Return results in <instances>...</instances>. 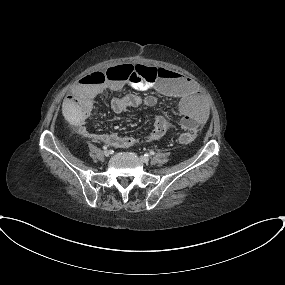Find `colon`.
Here are the masks:
<instances>
[{
  "mask_svg": "<svg viewBox=\"0 0 285 285\" xmlns=\"http://www.w3.org/2000/svg\"><path fill=\"white\" fill-rule=\"evenodd\" d=\"M159 70L149 66L122 65L116 68H108L105 71H93L81 76L83 82L92 84H103L108 79L121 78L135 83L143 80L153 82L157 79ZM180 143L188 144L193 141L192 133H183L179 138Z\"/></svg>",
  "mask_w": 285,
  "mask_h": 285,
  "instance_id": "obj_1",
  "label": "colon"
}]
</instances>
